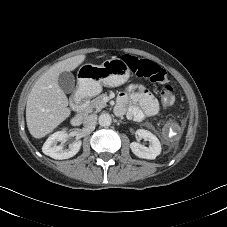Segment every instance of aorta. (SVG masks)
<instances>
[{"instance_id":"aorta-1","label":"aorta","mask_w":227,"mask_h":227,"mask_svg":"<svg viewBox=\"0 0 227 227\" xmlns=\"http://www.w3.org/2000/svg\"><path fill=\"white\" fill-rule=\"evenodd\" d=\"M112 123V118L108 113H102L99 116V124L103 127L110 126Z\"/></svg>"}]
</instances>
